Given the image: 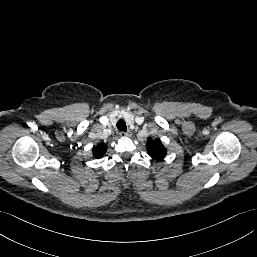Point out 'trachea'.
<instances>
[{
  "label": "trachea",
  "instance_id": "trachea-1",
  "mask_svg": "<svg viewBox=\"0 0 257 257\" xmlns=\"http://www.w3.org/2000/svg\"><path fill=\"white\" fill-rule=\"evenodd\" d=\"M117 128H118L119 131L126 132L127 126H126L125 121L122 120V119H120V120L117 122Z\"/></svg>",
  "mask_w": 257,
  "mask_h": 257
}]
</instances>
